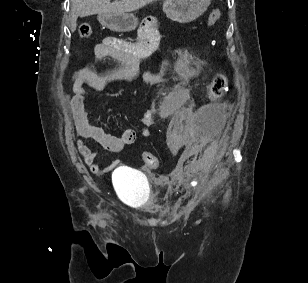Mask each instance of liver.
Returning <instances> with one entry per match:
<instances>
[{"label": "liver", "instance_id": "liver-1", "mask_svg": "<svg viewBox=\"0 0 308 283\" xmlns=\"http://www.w3.org/2000/svg\"><path fill=\"white\" fill-rule=\"evenodd\" d=\"M156 0H71V31L76 30L78 17L95 14H124L138 10Z\"/></svg>", "mask_w": 308, "mask_h": 283}]
</instances>
